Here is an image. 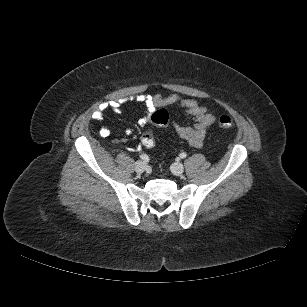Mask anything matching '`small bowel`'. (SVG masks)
I'll return each instance as SVG.
<instances>
[{
	"mask_svg": "<svg viewBox=\"0 0 307 307\" xmlns=\"http://www.w3.org/2000/svg\"><path fill=\"white\" fill-rule=\"evenodd\" d=\"M135 100L146 107L145 115L138 119V124L142 127L149 123L151 115L157 108L167 106H179L183 108L187 115L194 119L195 124L193 126H186L174 123V129L181 139L196 148L203 145L210 127L216 120L215 116L198 101L195 99L183 98L178 94H170L167 96L162 94H143L137 96ZM121 104L122 103L119 101L103 102L92 112L91 117L97 122H102L108 110L120 113ZM131 133L132 130L130 128L126 129V134ZM100 135L104 138L109 137L110 129L107 126H102Z\"/></svg>",
	"mask_w": 307,
	"mask_h": 307,
	"instance_id": "small-bowel-1",
	"label": "small bowel"
}]
</instances>
